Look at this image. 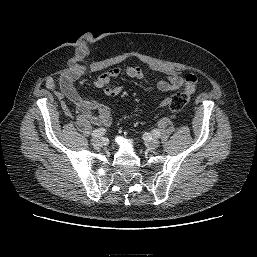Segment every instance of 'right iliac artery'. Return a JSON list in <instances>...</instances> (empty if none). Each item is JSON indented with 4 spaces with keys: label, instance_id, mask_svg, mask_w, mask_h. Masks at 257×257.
I'll return each instance as SVG.
<instances>
[{
    "label": "right iliac artery",
    "instance_id": "obj_1",
    "mask_svg": "<svg viewBox=\"0 0 257 257\" xmlns=\"http://www.w3.org/2000/svg\"><path fill=\"white\" fill-rule=\"evenodd\" d=\"M104 134H105V129L104 128H98V129H95L92 132L91 136L94 137V138H97V137H101Z\"/></svg>",
    "mask_w": 257,
    "mask_h": 257
}]
</instances>
